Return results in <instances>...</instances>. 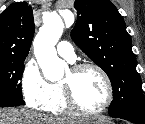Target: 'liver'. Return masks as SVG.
I'll return each mask as SVG.
<instances>
[{
    "mask_svg": "<svg viewBox=\"0 0 145 124\" xmlns=\"http://www.w3.org/2000/svg\"><path fill=\"white\" fill-rule=\"evenodd\" d=\"M75 118H54L23 109H0V124H79Z\"/></svg>",
    "mask_w": 145,
    "mask_h": 124,
    "instance_id": "1",
    "label": "liver"
}]
</instances>
